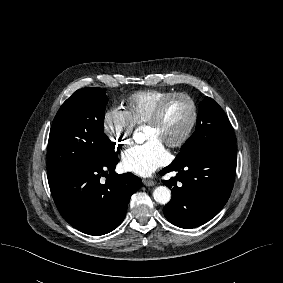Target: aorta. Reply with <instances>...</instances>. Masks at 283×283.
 <instances>
[{"instance_id":"aorta-1","label":"aorta","mask_w":283,"mask_h":283,"mask_svg":"<svg viewBox=\"0 0 283 283\" xmlns=\"http://www.w3.org/2000/svg\"><path fill=\"white\" fill-rule=\"evenodd\" d=\"M141 136V133L136 130V132L133 135V138L136 142L139 141V138ZM153 197L154 200L160 204H167L171 199V191L166 186H158L153 191Z\"/></svg>"}]
</instances>
